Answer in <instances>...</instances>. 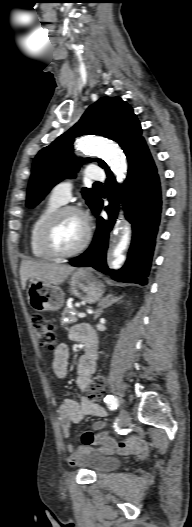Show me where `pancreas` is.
<instances>
[{
	"label": "pancreas",
	"mask_w": 192,
	"mask_h": 527,
	"mask_svg": "<svg viewBox=\"0 0 192 527\" xmlns=\"http://www.w3.org/2000/svg\"><path fill=\"white\" fill-rule=\"evenodd\" d=\"M73 313H77V311L74 308H68L66 307L62 312V325H69L72 323L77 322L78 318L76 315H73ZM67 320V321H65Z\"/></svg>",
	"instance_id": "pancreas-1"
}]
</instances>
